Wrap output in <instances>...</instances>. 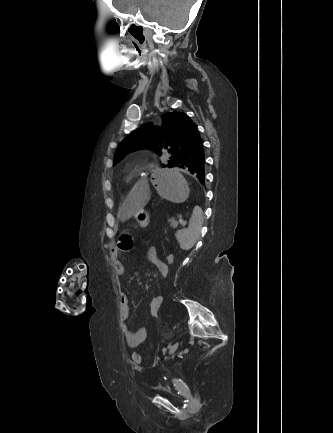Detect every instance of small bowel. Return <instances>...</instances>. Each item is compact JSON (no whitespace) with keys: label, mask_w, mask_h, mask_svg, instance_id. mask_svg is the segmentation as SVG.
<instances>
[{"label":"small bowel","mask_w":333,"mask_h":433,"mask_svg":"<svg viewBox=\"0 0 333 433\" xmlns=\"http://www.w3.org/2000/svg\"><path fill=\"white\" fill-rule=\"evenodd\" d=\"M148 260L156 266L159 273L163 277H167L169 268L165 265V261H163L158 254V251L155 247H150L147 251ZM173 258V256H172ZM111 259L113 263V267L115 272L120 276L124 273V265L119 256V250L114 247L111 253ZM154 297H158L159 300L163 303L165 300L164 293H158ZM151 309V307H150ZM119 316L122 324V332L126 341V344L131 348H136L140 344H142L147 338V329L142 327L138 330H132L128 324V320L130 317V306L129 299L126 294H121L119 298Z\"/></svg>","instance_id":"obj_1"}]
</instances>
